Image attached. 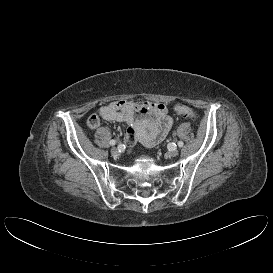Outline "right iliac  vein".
I'll list each match as a JSON object with an SVG mask.
<instances>
[{
    "label": "right iliac vein",
    "instance_id": "1",
    "mask_svg": "<svg viewBox=\"0 0 273 273\" xmlns=\"http://www.w3.org/2000/svg\"><path fill=\"white\" fill-rule=\"evenodd\" d=\"M111 154H112L113 156H118V155H119L118 149H117L116 147H113V148L111 149Z\"/></svg>",
    "mask_w": 273,
    "mask_h": 273
}]
</instances>
